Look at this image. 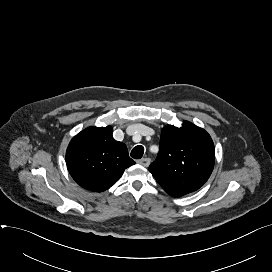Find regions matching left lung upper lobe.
<instances>
[{"mask_svg": "<svg viewBox=\"0 0 272 272\" xmlns=\"http://www.w3.org/2000/svg\"><path fill=\"white\" fill-rule=\"evenodd\" d=\"M214 161L210 135L184 121L181 128L163 127L160 150L149 171L169 195L180 197L204 185L212 173Z\"/></svg>", "mask_w": 272, "mask_h": 272, "instance_id": "left-lung-upper-lobe-1", "label": "left lung upper lobe"}]
</instances>
